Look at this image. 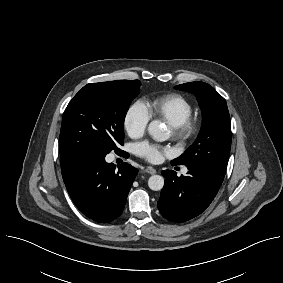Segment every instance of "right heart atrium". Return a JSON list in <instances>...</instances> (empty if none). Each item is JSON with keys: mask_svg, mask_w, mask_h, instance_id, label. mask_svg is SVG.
<instances>
[{"mask_svg": "<svg viewBox=\"0 0 283 283\" xmlns=\"http://www.w3.org/2000/svg\"><path fill=\"white\" fill-rule=\"evenodd\" d=\"M149 115L143 103L136 101L130 105L124 117V126L131 138L141 137L148 125Z\"/></svg>", "mask_w": 283, "mask_h": 283, "instance_id": "right-heart-atrium-1", "label": "right heart atrium"}]
</instances>
